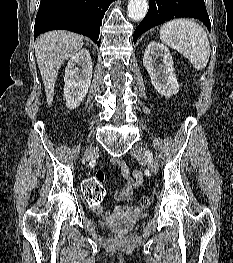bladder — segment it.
<instances>
[{
  "label": "bladder",
  "mask_w": 233,
  "mask_h": 263,
  "mask_svg": "<svg viewBox=\"0 0 233 263\" xmlns=\"http://www.w3.org/2000/svg\"><path fill=\"white\" fill-rule=\"evenodd\" d=\"M143 217L144 214L129 210L106 218L104 225L109 230H118L122 233H126L129 232Z\"/></svg>",
  "instance_id": "31cf9c89"
}]
</instances>
